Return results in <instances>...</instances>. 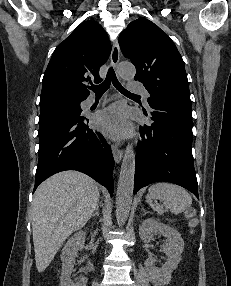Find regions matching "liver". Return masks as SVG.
<instances>
[{
  "mask_svg": "<svg viewBox=\"0 0 231 286\" xmlns=\"http://www.w3.org/2000/svg\"><path fill=\"white\" fill-rule=\"evenodd\" d=\"M99 189L89 176L63 171L35 191L31 223L36 268L43 272L64 241L86 225L98 204Z\"/></svg>",
  "mask_w": 231,
  "mask_h": 286,
  "instance_id": "obj_1",
  "label": "liver"
}]
</instances>
